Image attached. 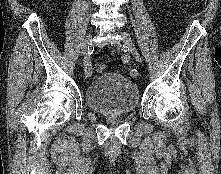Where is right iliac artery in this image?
Listing matches in <instances>:
<instances>
[{"instance_id": "obj_1", "label": "right iliac artery", "mask_w": 221, "mask_h": 174, "mask_svg": "<svg viewBox=\"0 0 221 174\" xmlns=\"http://www.w3.org/2000/svg\"><path fill=\"white\" fill-rule=\"evenodd\" d=\"M84 73L86 78H90L93 74V67L89 56L83 61Z\"/></svg>"}]
</instances>
